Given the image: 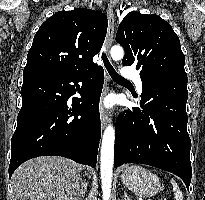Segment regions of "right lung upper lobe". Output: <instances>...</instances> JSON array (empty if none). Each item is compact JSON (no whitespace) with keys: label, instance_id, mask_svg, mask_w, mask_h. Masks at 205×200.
Instances as JSON below:
<instances>
[{"label":"right lung upper lobe","instance_id":"right-lung-upper-lobe-1","mask_svg":"<svg viewBox=\"0 0 205 200\" xmlns=\"http://www.w3.org/2000/svg\"><path fill=\"white\" fill-rule=\"evenodd\" d=\"M107 26L106 15L99 11L82 8L55 13L34 36L24 71L83 73L92 69Z\"/></svg>","mask_w":205,"mask_h":200}]
</instances>
